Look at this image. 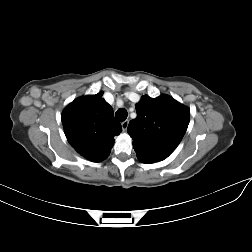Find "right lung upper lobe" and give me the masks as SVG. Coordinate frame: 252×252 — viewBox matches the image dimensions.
Instances as JSON below:
<instances>
[{"instance_id": "right-lung-upper-lobe-1", "label": "right lung upper lobe", "mask_w": 252, "mask_h": 252, "mask_svg": "<svg viewBox=\"0 0 252 252\" xmlns=\"http://www.w3.org/2000/svg\"><path fill=\"white\" fill-rule=\"evenodd\" d=\"M102 92L82 96L71 102L61 115L65 135L71 146L86 159L100 162L107 158L114 136L121 133L112 107Z\"/></svg>"}]
</instances>
